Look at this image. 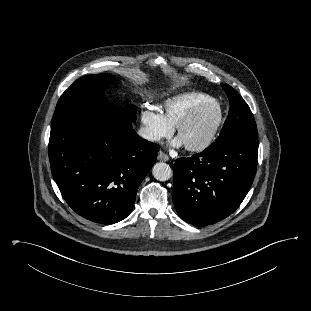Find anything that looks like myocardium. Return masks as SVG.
<instances>
[{
  "label": "myocardium",
  "mask_w": 311,
  "mask_h": 311,
  "mask_svg": "<svg viewBox=\"0 0 311 311\" xmlns=\"http://www.w3.org/2000/svg\"><path fill=\"white\" fill-rule=\"evenodd\" d=\"M214 106L215 107V119L213 122V125L206 136V138L201 141L198 144H192V145H184L185 148L188 151L191 152H201L207 149L211 144L214 142L220 127L223 123L224 113L221 104L215 100H209L207 102H204L200 104L199 106L195 107L193 110H191L188 114H186L176 125V133L179 136L182 130L188 126L192 121H194L202 112H204L209 107Z\"/></svg>",
  "instance_id": "f54148a6"
}]
</instances>
